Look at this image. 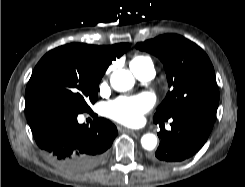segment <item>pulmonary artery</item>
<instances>
[{
  "label": "pulmonary artery",
  "mask_w": 245,
  "mask_h": 187,
  "mask_svg": "<svg viewBox=\"0 0 245 187\" xmlns=\"http://www.w3.org/2000/svg\"><path fill=\"white\" fill-rule=\"evenodd\" d=\"M133 73L140 80H149L154 76L155 70L153 64H147L140 69L134 70Z\"/></svg>",
  "instance_id": "obj_1"
}]
</instances>
